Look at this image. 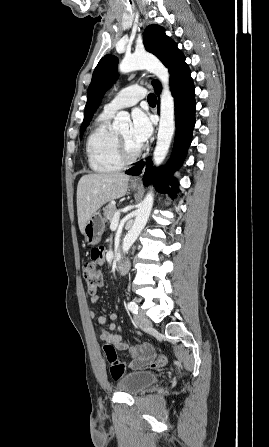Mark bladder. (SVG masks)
I'll return each instance as SVG.
<instances>
[{"instance_id":"bladder-1","label":"bladder","mask_w":269,"mask_h":447,"mask_svg":"<svg viewBox=\"0 0 269 447\" xmlns=\"http://www.w3.org/2000/svg\"><path fill=\"white\" fill-rule=\"evenodd\" d=\"M159 373L151 370H137L119 375L116 390L120 393L137 394L142 388L153 386L159 379Z\"/></svg>"}]
</instances>
